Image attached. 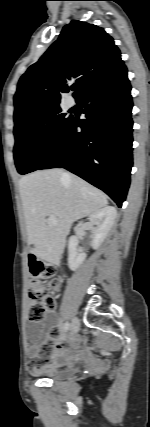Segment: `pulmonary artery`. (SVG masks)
Masks as SVG:
<instances>
[{"mask_svg":"<svg viewBox=\"0 0 150 427\" xmlns=\"http://www.w3.org/2000/svg\"><path fill=\"white\" fill-rule=\"evenodd\" d=\"M66 105L68 107H72L74 105V99L72 97H67L66 98Z\"/></svg>","mask_w":150,"mask_h":427,"instance_id":"obj_1","label":"pulmonary artery"}]
</instances>
